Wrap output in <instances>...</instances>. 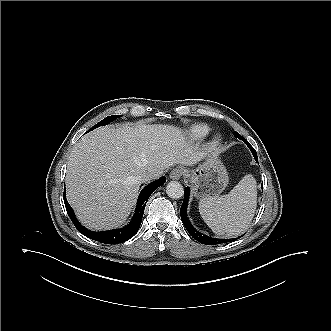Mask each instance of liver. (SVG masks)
<instances>
[{"label": "liver", "mask_w": 331, "mask_h": 331, "mask_svg": "<svg viewBox=\"0 0 331 331\" xmlns=\"http://www.w3.org/2000/svg\"><path fill=\"white\" fill-rule=\"evenodd\" d=\"M201 158L183 131L170 125L120 124L82 137L69 156L66 195L80 222L92 230L120 226L130 215L140 177Z\"/></svg>", "instance_id": "6515ba94"}]
</instances>
